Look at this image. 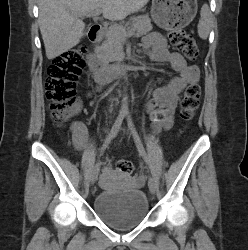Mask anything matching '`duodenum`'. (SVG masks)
<instances>
[{
    "label": "duodenum",
    "mask_w": 248,
    "mask_h": 250,
    "mask_svg": "<svg viewBox=\"0 0 248 250\" xmlns=\"http://www.w3.org/2000/svg\"><path fill=\"white\" fill-rule=\"evenodd\" d=\"M103 30L101 24H92L88 29V38L92 44L100 42V36ZM89 71L99 84H107L118 78H124L129 73V67L125 62L105 65L93 53L87 57Z\"/></svg>",
    "instance_id": "obj_1"
}]
</instances>
